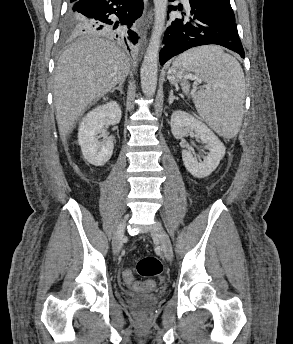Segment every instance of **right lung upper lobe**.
Listing matches in <instances>:
<instances>
[{
	"mask_svg": "<svg viewBox=\"0 0 293 344\" xmlns=\"http://www.w3.org/2000/svg\"><path fill=\"white\" fill-rule=\"evenodd\" d=\"M71 2H75L76 0H70Z\"/></svg>",
	"mask_w": 293,
	"mask_h": 344,
	"instance_id": "cb5924a9",
	"label": "right lung upper lobe"
}]
</instances>
